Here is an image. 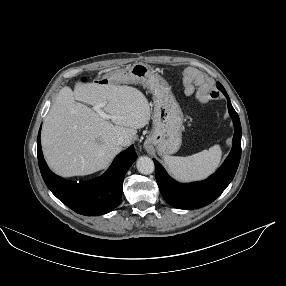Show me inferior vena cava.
I'll list each match as a JSON object with an SVG mask.
<instances>
[{
	"label": "inferior vena cava",
	"mask_w": 286,
	"mask_h": 286,
	"mask_svg": "<svg viewBox=\"0 0 286 286\" xmlns=\"http://www.w3.org/2000/svg\"><path fill=\"white\" fill-rule=\"evenodd\" d=\"M117 144L121 145V146H126V140L124 138L120 137L117 141Z\"/></svg>",
	"instance_id": "1"
}]
</instances>
